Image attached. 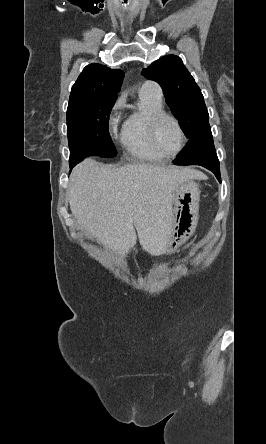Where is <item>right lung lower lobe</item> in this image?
<instances>
[{"mask_svg": "<svg viewBox=\"0 0 266 444\" xmlns=\"http://www.w3.org/2000/svg\"><path fill=\"white\" fill-rule=\"evenodd\" d=\"M75 165H76V163L70 164V169H72Z\"/></svg>", "mask_w": 266, "mask_h": 444, "instance_id": "1", "label": "right lung lower lobe"}]
</instances>
